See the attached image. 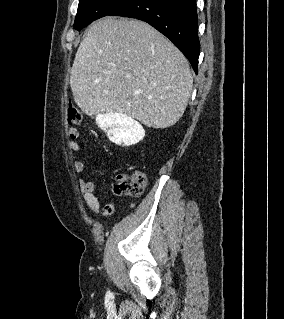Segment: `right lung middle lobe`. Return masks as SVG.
<instances>
[{
    "instance_id": "right-lung-middle-lobe-1",
    "label": "right lung middle lobe",
    "mask_w": 284,
    "mask_h": 319,
    "mask_svg": "<svg viewBox=\"0 0 284 319\" xmlns=\"http://www.w3.org/2000/svg\"><path fill=\"white\" fill-rule=\"evenodd\" d=\"M129 1L130 0H79L74 28L80 31L94 20L109 15Z\"/></svg>"
}]
</instances>
